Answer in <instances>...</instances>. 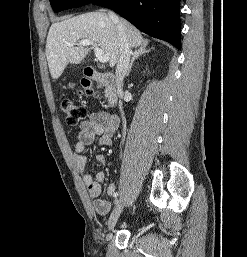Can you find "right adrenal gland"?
Masks as SVG:
<instances>
[{
  "mask_svg": "<svg viewBox=\"0 0 247 257\" xmlns=\"http://www.w3.org/2000/svg\"><path fill=\"white\" fill-rule=\"evenodd\" d=\"M149 52H150V50L147 49V45H141V46H139L138 48L135 49V51H134V53H133V57H132L131 63H130L129 68H128V70H127L126 76H128V75L130 74L131 69H132V67H133L134 61H135L138 57H140L141 55L146 54V53H149Z\"/></svg>",
  "mask_w": 247,
  "mask_h": 257,
  "instance_id": "obj_1",
  "label": "right adrenal gland"
}]
</instances>
